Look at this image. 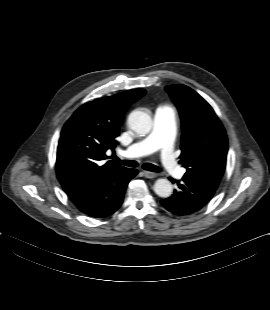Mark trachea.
<instances>
[{
	"mask_svg": "<svg viewBox=\"0 0 270 310\" xmlns=\"http://www.w3.org/2000/svg\"><path fill=\"white\" fill-rule=\"evenodd\" d=\"M117 162H119L122 165L128 166V167H137V162L134 160H120L119 158H115ZM143 169L152 171V172H161V169L158 166H155L150 163H146L142 166Z\"/></svg>",
	"mask_w": 270,
	"mask_h": 310,
	"instance_id": "trachea-1",
	"label": "trachea"
}]
</instances>
